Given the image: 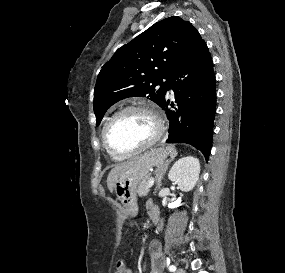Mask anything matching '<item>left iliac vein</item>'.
Returning <instances> with one entry per match:
<instances>
[{"label": "left iliac vein", "instance_id": "1", "mask_svg": "<svg viewBox=\"0 0 285 273\" xmlns=\"http://www.w3.org/2000/svg\"><path fill=\"white\" fill-rule=\"evenodd\" d=\"M176 273H186L185 270L183 268H179Z\"/></svg>", "mask_w": 285, "mask_h": 273}]
</instances>
